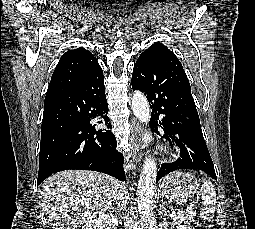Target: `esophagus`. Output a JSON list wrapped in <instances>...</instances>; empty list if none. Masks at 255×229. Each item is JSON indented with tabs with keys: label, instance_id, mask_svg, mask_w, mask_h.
Segmentation results:
<instances>
[{
	"label": "esophagus",
	"instance_id": "34e87169",
	"mask_svg": "<svg viewBox=\"0 0 255 229\" xmlns=\"http://www.w3.org/2000/svg\"><path fill=\"white\" fill-rule=\"evenodd\" d=\"M142 131L141 124L135 119H132V135L131 141L133 144V152L132 157L135 162H140L142 159V150H141V143L139 139V134Z\"/></svg>",
	"mask_w": 255,
	"mask_h": 229
}]
</instances>
